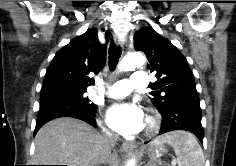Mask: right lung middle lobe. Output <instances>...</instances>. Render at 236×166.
Segmentation results:
<instances>
[{
  "label": "right lung middle lobe",
  "instance_id": "obj_1",
  "mask_svg": "<svg viewBox=\"0 0 236 166\" xmlns=\"http://www.w3.org/2000/svg\"><path fill=\"white\" fill-rule=\"evenodd\" d=\"M86 92L87 90L64 86L42 89L40 112L56 111L68 108H81L95 112L96 105L91 103L88 97H86Z\"/></svg>",
  "mask_w": 236,
  "mask_h": 166
}]
</instances>
